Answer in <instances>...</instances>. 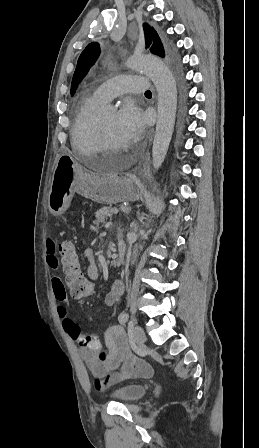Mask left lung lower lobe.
Listing matches in <instances>:
<instances>
[{
	"instance_id": "obj_1",
	"label": "left lung lower lobe",
	"mask_w": 259,
	"mask_h": 448,
	"mask_svg": "<svg viewBox=\"0 0 259 448\" xmlns=\"http://www.w3.org/2000/svg\"><path fill=\"white\" fill-rule=\"evenodd\" d=\"M171 64H172V67L174 68L175 75H176V78L178 80L179 88H180V95H181V100H182V105H181V116H182L181 130H183L184 129V125H185L184 122H183V119H184L185 115L187 114V105H186L187 89H186L185 80H184V73H183V70H182V66H181V62H180L179 57L176 56V55H172Z\"/></svg>"
}]
</instances>
